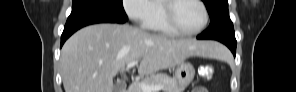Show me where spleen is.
Returning a JSON list of instances; mask_svg holds the SVG:
<instances>
[{
    "label": "spleen",
    "mask_w": 296,
    "mask_h": 92,
    "mask_svg": "<svg viewBox=\"0 0 296 92\" xmlns=\"http://www.w3.org/2000/svg\"><path fill=\"white\" fill-rule=\"evenodd\" d=\"M223 47V46H222ZM216 58H222V59H225V58H229L230 56L228 54L225 53V48L223 47L222 48H219L218 49V53L217 55L215 56Z\"/></svg>",
    "instance_id": "obj_1"
}]
</instances>
